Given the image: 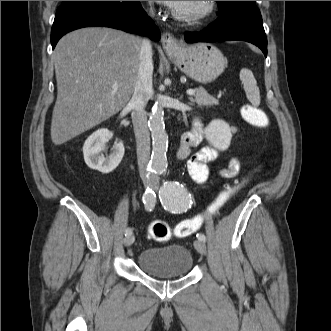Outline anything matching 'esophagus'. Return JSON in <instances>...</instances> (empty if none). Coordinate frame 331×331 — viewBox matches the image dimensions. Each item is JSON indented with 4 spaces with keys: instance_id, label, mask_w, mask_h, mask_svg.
I'll return each instance as SVG.
<instances>
[{
    "instance_id": "esophagus-1",
    "label": "esophagus",
    "mask_w": 331,
    "mask_h": 331,
    "mask_svg": "<svg viewBox=\"0 0 331 331\" xmlns=\"http://www.w3.org/2000/svg\"><path fill=\"white\" fill-rule=\"evenodd\" d=\"M163 49L166 53L172 54L180 48L179 41L169 32H164L161 38Z\"/></svg>"
}]
</instances>
